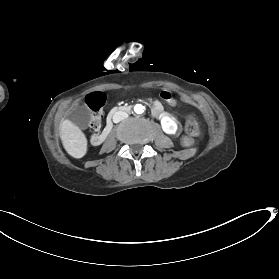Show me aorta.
<instances>
[{"instance_id": "762f6f07", "label": "aorta", "mask_w": 279, "mask_h": 279, "mask_svg": "<svg viewBox=\"0 0 279 279\" xmlns=\"http://www.w3.org/2000/svg\"><path fill=\"white\" fill-rule=\"evenodd\" d=\"M134 111H135V113H137V114H141V113L144 112V106L141 105V104H137V105H135V107H134Z\"/></svg>"}]
</instances>
